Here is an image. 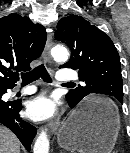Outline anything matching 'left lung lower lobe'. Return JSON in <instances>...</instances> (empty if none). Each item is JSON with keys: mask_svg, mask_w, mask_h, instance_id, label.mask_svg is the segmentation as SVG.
<instances>
[{"mask_svg": "<svg viewBox=\"0 0 130 153\" xmlns=\"http://www.w3.org/2000/svg\"><path fill=\"white\" fill-rule=\"evenodd\" d=\"M68 104H69V106L71 108H74L76 106L75 104H70V103H68ZM88 113H90V110L89 109H86V110L83 111V115H87Z\"/></svg>", "mask_w": 130, "mask_h": 153, "instance_id": "left-lung-lower-lobe-1", "label": "left lung lower lobe"}]
</instances>
